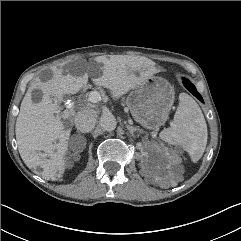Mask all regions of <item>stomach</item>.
Instances as JSON below:
<instances>
[{"label": "stomach", "instance_id": "0dacf381", "mask_svg": "<svg viewBox=\"0 0 241 241\" xmlns=\"http://www.w3.org/2000/svg\"><path fill=\"white\" fill-rule=\"evenodd\" d=\"M174 99L171 84L162 77L151 76L127 96L126 105L139 124L155 130L167 121Z\"/></svg>", "mask_w": 241, "mask_h": 241}]
</instances>
